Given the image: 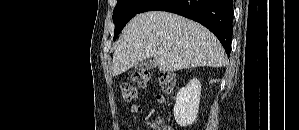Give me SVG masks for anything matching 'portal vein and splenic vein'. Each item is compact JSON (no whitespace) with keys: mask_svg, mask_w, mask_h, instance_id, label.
<instances>
[{"mask_svg":"<svg viewBox=\"0 0 299 130\" xmlns=\"http://www.w3.org/2000/svg\"><path fill=\"white\" fill-rule=\"evenodd\" d=\"M163 52H164V50H162V49H161V50H158V53H159V54H162Z\"/></svg>","mask_w":299,"mask_h":130,"instance_id":"1","label":"portal vein and splenic vein"}]
</instances>
